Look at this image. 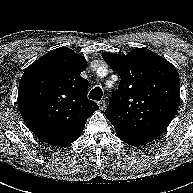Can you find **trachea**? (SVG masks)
<instances>
[{"label": "trachea", "mask_w": 193, "mask_h": 193, "mask_svg": "<svg viewBox=\"0 0 193 193\" xmlns=\"http://www.w3.org/2000/svg\"><path fill=\"white\" fill-rule=\"evenodd\" d=\"M103 92L100 87H95L91 92L89 93V99L100 101L102 98Z\"/></svg>", "instance_id": "trachea-1"}]
</instances>
